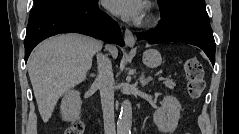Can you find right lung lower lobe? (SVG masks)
Here are the masks:
<instances>
[{
  "mask_svg": "<svg viewBox=\"0 0 239 134\" xmlns=\"http://www.w3.org/2000/svg\"><path fill=\"white\" fill-rule=\"evenodd\" d=\"M76 32L124 46L118 24L99 9L98 0H43L30 12L25 37V61L42 40Z\"/></svg>",
  "mask_w": 239,
  "mask_h": 134,
  "instance_id": "obj_1",
  "label": "right lung lower lobe"
}]
</instances>
